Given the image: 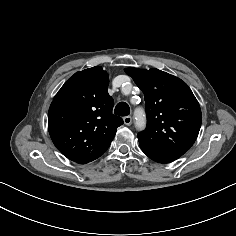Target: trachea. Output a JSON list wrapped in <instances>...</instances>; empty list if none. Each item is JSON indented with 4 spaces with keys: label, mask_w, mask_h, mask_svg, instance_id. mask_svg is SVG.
I'll list each match as a JSON object with an SVG mask.
<instances>
[{
    "label": "trachea",
    "mask_w": 236,
    "mask_h": 236,
    "mask_svg": "<svg viewBox=\"0 0 236 236\" xmlns=\"http://www.w3.org/2000/svg\"><path fill=\"white\" fill-rule=\"evenodd\" d=\"M114 113L118 116H127L130 114L129 105L125 102H120L117 104Z\"/></svg>",
    "instance_id": "trachea-1"
}]
</instances>
